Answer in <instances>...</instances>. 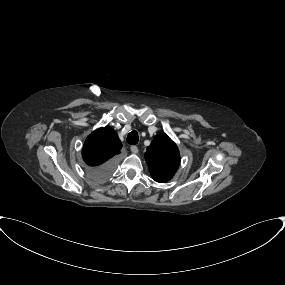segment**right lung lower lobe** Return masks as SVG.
Masks as SVG:
<instances>
[{
    "instance_id": "right-lung-lower-lobe-1",
    "label": "right lung lower lobe",
    "mask_w": 285,
    "mask_h": 285,
    "mask_svg": "<svg viewBox=\"0 0 285 285\" xmlns=\"http://www.w3.org/2000/svg\"><path fill=\"white\" fill-rule=\"evenodd\" d=\"M115 169V159H111L106 163L92 168L89 172L93 179L96 181H104L107 179Z\"/></svg>"
}]
</instances>
